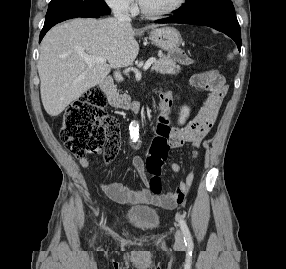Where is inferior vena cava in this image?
Listing matches in <instances>:
<instances>
[{
    "label": "inferior vena cava",
    "mask_w": 286,
    "mask_h": 269,
    "mask_svg": "<svg viewBox=\"0 0 286 269\" xmlns=\"http://www.w3.org/2000/svg\"><path fill=\"white\" fill-rule=\"evenodd\" d=\"M115 18L119 21V22H123V23H130L131 18L129 17V15L125 12H122L120 10H114L113 11ZM115 78L117 81L122 80V76L119 72L115 73Z\"/></svg>",
    "instance_id": "1"
}]
</instances>
